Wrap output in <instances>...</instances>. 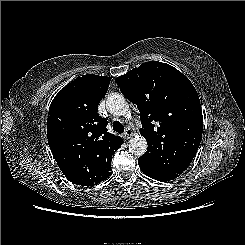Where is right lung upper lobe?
<instances>
[{"label":"right lung upper lobe","mask_w":245,"mask_h":245,"mask_svg":"<svg viewBox=\"0 0 245 245\" xmlns=\"http://www.w3.org/2000/svg\"><path fill=\"white\" fill-rule=\"evenodd\" d=\"M111 77L83 75L67 84L53 99L47 119V138L58 166H73L79 184L92 186L101 182L95 155L113 152L123 139L107 132V119L98 114V104L105 96Z\"/></svg>","instance_id":"1"}]
</instances>
